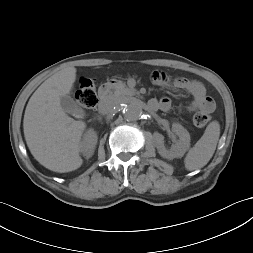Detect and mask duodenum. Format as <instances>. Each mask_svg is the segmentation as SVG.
I'll use <instances>...</instances> for the list:
<instances>
[{
    "instance_id": "410a0bca",
    "label": "duodenum",
    "mask_w": 253,
    "mask_h": 253,
    "mask_svg": "<svg viewBox=\"0 0 253 253\" xmlns=\"http://www.w3.org/2000/svg\"><path fill=\"white\" fill-rule=\"evenodd\" d=\"M115 80H111L109 82H107L106 84H104L103 86L100 87L99 89V97L101 100L106 99V97L108 96L109 90L111 88L112 85L115 84ZM150 107V104H149Z\"/></svg>"
}]
</instances>
